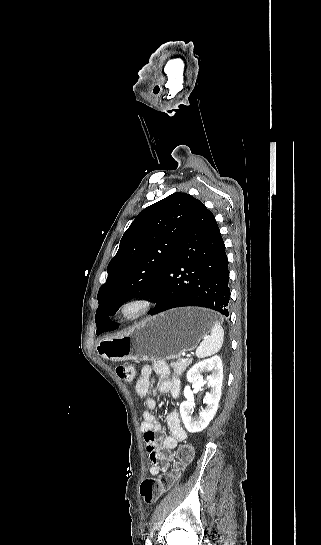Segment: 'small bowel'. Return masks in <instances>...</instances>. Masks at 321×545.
Segmentation results:
<instances>
[{
  "label": "small bowel",
  "instance_id": "1",
  "mask_svg": "<svg viewBox=\"0 0 321 545\" xmlns=\"http://www.w3.org/2000/svg\"><path fill=\"white\" fill-rule=\"evenodd\" d=\"M152 374H156L160 377L156 386L158 392L167 393L172 398L178 397L181 383L176 376L170 375L167 364L160 360L153 362L151 365H145L136 382V392L144 399V405L146 407V410L143 412L141 431L151 462L150 473L151 475H157L158 473L167 470L169 464L174 460V453L172 450L186 439L187 433L181 425L178 411L173 409L167 415L169 434L166 436H159L161 425L152 413L156 408V400L149 395Z\"/></svg>",
  "mask_w": 321,
  "mask_h": 545
}]
</instances>
